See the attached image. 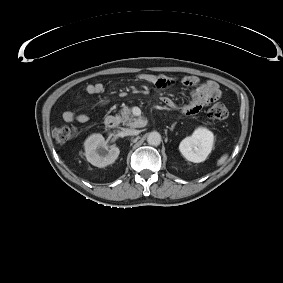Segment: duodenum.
Returning <instances> with one entry per match:
<instances>
[{
	"label": "duodenum",
	"mask_w": 283,
	"mask_h": 283,
	"mask_svg": "<svg viewBox=\"0 0 283 283\" xmlns=\"http://www.w3.org/2000/svg\"><path fill=\"white\" fill-rule=\"evenodd\" d=\"M105 126L108 129H113L118 125V119L115 116H108L105 118Z\"/></svg>",
	"instance_id": "410a0bca"
}]
</instances>
